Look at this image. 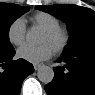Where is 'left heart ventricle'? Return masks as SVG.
I'll use <instances>...</instances> for the list:
<instances>
[{"mask_svg":"<svg viewBox=\"0 0 95 95\" xmlns=\"http://www.w3.org/2000/svg\"><path fill=\"white\" fill-rule=\"evenodd\" d=\"M40 43H47V44H49L51 47H52V49H53V47H54V45H55V43L53 42V41H51L48 37H47V35L44 33L43 34V36H42V38H41V40H40Z\"/></svg>","mask_w":95,"mask_h":95,"instance_id":"1","label":"left heart ventricle"}]
</instances>
